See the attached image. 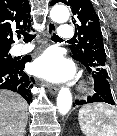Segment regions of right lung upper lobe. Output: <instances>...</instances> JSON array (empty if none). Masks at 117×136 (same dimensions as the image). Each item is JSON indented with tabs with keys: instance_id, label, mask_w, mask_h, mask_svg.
Returning a JSON list of instances; mask_svg holds the SVG:
<instances>
[{
	"instance_id": "1",
	"label": "right lung upper lobe",
	"mask_w": 117,
	"mask_h": 136,
	"mask_svg": "<svg viewBox=\"0 0 117 136\" xmlns=\"http://www.w3.org/2000/svg\"><path fill=\"white\" fill-rule=\"evenodd\" d=\"M30 18L28 0H0V52L10 50L13 29L26 28Z\"/></svg>"
}]
</instances>
